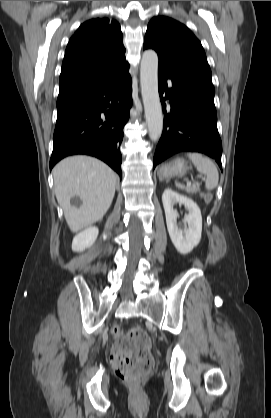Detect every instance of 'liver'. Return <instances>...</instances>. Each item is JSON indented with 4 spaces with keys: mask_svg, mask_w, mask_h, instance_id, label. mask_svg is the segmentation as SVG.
<instances>
[{
    "mask_svg": "<svg viewBox=\"0 0 271 418\" xmlns=\"http://www.w3.org/2000/svg\"><path fill=\"white\" fill-rule=\"evenodd\" d=\"M55 195L73 233L101 220L115 193L117 175L104 162L89 156H72L53 169ZM77 195L82 204L70 203Z\"/></svg>",
    "mask_w": 271,
    "mask_h": 418,
    "instance_id": "6515ba94",
    "label": "liver"
}]
</instances>
